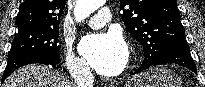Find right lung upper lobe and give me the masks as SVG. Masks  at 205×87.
<instances>
[{
    "instance_id": "cb5924a9",
    "label": "right lung upper lobe",
    "mask_w": 205,
    "mask_h": 87,
    "mask_svg": "<svg viewBox=\"0 0 205 87\" xmlns=\"http://www.w3.org/2000/svg\"><path fill=\"white\" fill-rule=\"evenodd\" d=\"M66 0H24L17 15L18 32L30 29L59 28Z\"/></svg>"
}]
</instances>
